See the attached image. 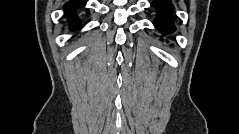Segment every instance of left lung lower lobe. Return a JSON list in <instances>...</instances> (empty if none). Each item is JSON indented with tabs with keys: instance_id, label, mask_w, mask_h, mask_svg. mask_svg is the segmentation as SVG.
Masks as SVG:
<instances>
[{
	"instance_id": "1",
	"label": "left lung lower lobe",
	"mask_w": 239,
	"mask_h": 134,
	"mask_svg": "<svg viewBox=\"0 0 239 134\" xmlns=\"http://www.w3.org/2000/svg\"><path fill=\"white\" fill-rule=\"evenodd\" d=\"M157 9L158 15L155 18L154 25L157 29L165 34L171 33L175 30L173 22L169 19L174 9L170 0H155L151 4Z\"/></svg>"
}]
</instances>
